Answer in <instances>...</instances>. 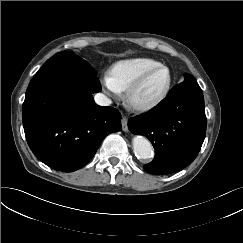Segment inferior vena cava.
Masks as SVG:
<instances>
[{
  "instance_id": "obj_1",
  "label": "inferior vena cava",
  "mask_w": 243,
  "mask_h": 243,
  "mask_svg": "<svg viewBox=\"0 0 243 243\" xmlns=\"http://www.w3.org/2000/svg\"><path fill=\"white\" fill-rule=\"evenodd\" d=\"M95 102L100 106H109L111 104V100L102 93H98L94 97Z\"/></svg>"
}]
</instances>
